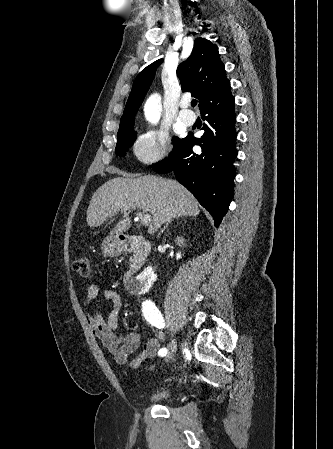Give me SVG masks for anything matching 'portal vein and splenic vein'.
I'll return each instance as SVG.
<instances>
[{
    "label": "portal vein and splenic vein",
    "instance_id": "portal-vein-and-splenic-vein-1",
    "mask_svg": "<svg viewBox=\"0 0 333 449\" xmlns=\"http://www.w3.org/2000/svg\"><path fill=\"white\" fill-rule=\"evenodd\" d=\"M138 216L140 217L141 224L144 226L149 225L151 222V216L149 214L143 215L141 212H138Z\"/></svg>",
    "mask_w": 333,
    "mask_h": 449
}]
</instances>
